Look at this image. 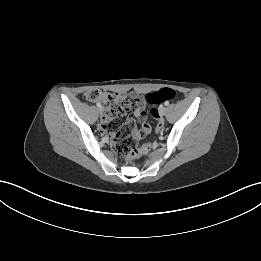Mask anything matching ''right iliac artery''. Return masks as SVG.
Returning <instances> with one entry per match:
<instances>
[{
	"label": "right iliac artery",
	"mask_w": 261,
	"mask_h": 261,
	"mask_svg": "<svg viewBox=\"0 0 261 261\" xmlns=\"http://www.w3.org/2000/svg\"><path fill=\"white\" fill-rule=\"evenodd\" d=\"M97 107H99V108H100V107H101V104H100V103H97Z\"/></svg>",
	"instance_id": "right-iliac-artery-1"
}]
</instances>
